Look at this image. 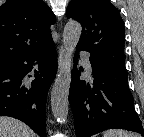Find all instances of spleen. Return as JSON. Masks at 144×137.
<instances>
[{"label": "spleen", "instance_id": "obj_1", "mask_svg": "<svg viewBox=\"0 0 144 137\" xmlns=\"http://www.w3.org/2000/svg\"><path fill=\"white\" fill-rule=\"evenodd\" d=\"M103 137H137V134L121 129H110L104 132Z\"/></svg>", "mask_w": 144, "mask_h": 137}]
</instances>
